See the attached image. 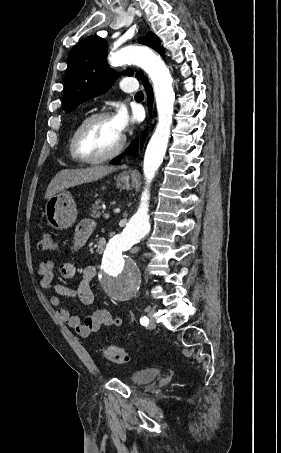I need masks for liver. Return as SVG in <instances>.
Returning <instances> with one entry per match:
<instances>
[{
    "instance_id": "obj_1",
    "label": "liver",
    "mask_w": 281,
    "mask_h": 453,
    "mask_svg": "<svg viewBox=\"0 0 281 453\" xmlns=\"http://www.w3.org/2000/svg\"><path fill=\"white\" fill-rule=\"evenodd\" d=\"M117 166H107V164H99V166H88V168H65L59 170L48 184L44 198H51L56 192L69 188V186H77L84 182H92L103 178L109 172H115Z\"/></svg>"
}]
</instances>
